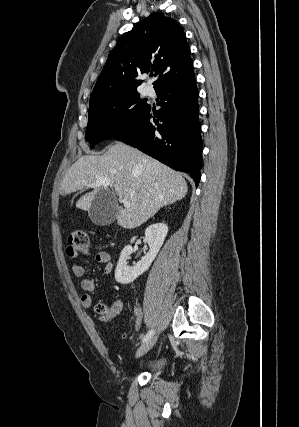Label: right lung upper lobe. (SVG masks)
<instances>
[{
	"mask_svg": "<svg viewBox=\"0 0 299 427\" xmlns=\"http://www.w3.org/2000/svg\"><path fill=\"white\" fill-rule=\"evenodd\" d=\"M155 72L153 83L179 79L193 72L186 35L179 23L152 13L125 33L110 54L93 89L90 102L137 91L143 73Z\"/></svg>",
	"mask_w": 299,
	"mask_h": 427,
	"instance_id": "obj_1",
	"label": "right lung upper lobe"
}]
</instances>
